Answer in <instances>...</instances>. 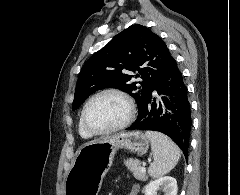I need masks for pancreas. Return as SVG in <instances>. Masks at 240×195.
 Segmentation results:
<instances>
[{
  "mask_svg": "<svg viewBox=\"0 0 240 195\" xmlns=\"http://www.w3.org/2000/svg\"><path fill=\"white\" fill-rule=\"evenodd\" d=\"M124 163L126 167L130 169V171H133V175L134 177H136V179H141V181H146V179H148L146 171H141L140 169L139 159H133V157H128V159H125Z\"/></svg>",
  "mask_w": 240,
  "mask_h": 195,
  "instance_id": "1",
  "label": "pancreas"
}]
</instances>
